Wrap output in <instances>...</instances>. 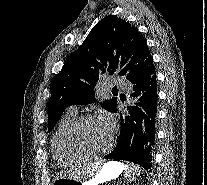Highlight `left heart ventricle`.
Returning <instances> with one entry per match:
<instances>
[{
	"label": "left heart ventricle",
	"instance_id": "obj_1",
	"mask_svg": "<svg viewBox=\"0 0 207 185\" xmlns=\"http://www.w3.org/2000/svg\"><path fill=\"white\" fill-rule=\"evenodd\" d=\"M112 130L98 119L85 123L78 134L79 141L91 151H102L111 143Z\"/></svg>",
	"mask_w": 207,
	"mask_h": 185
}]
</instances>
